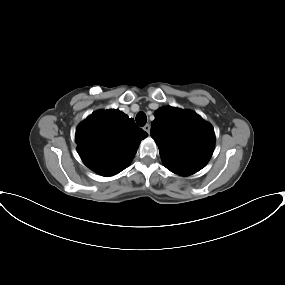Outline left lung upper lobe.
<instances>
[{"instance_id":"left-lung-upper-lobe-1","label":"left lung upper lobe","mask_w":285,"mask_h":285,"mask_svg":"<svg viewBox=\"0 0 285 285\" xmlns=\"http://www.w3.org/2000/svg\"><path fill=\"white\" fill-rule=\"evenodd\" d=\"M151 137L160 149L166 167L197 172L212 156L215 145L213 127L190 110L166 106L154 113Z\"/></svg>"}]
</instances>
